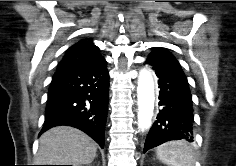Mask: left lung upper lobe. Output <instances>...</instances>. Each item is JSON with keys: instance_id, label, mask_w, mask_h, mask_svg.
Listing matches in <instances>:
<instances>
[{"instance_id": "left-lung-upper-lobe-1", "label": "left lung upper lobe", "mask_w": 236, "mask_h": 166, "mask_svg": "<svg viewBox=\"0 0 236 166\" xmlns=\"http://www.w3.org/2000/svg\"><path fill=\"white\" fill-rule=\"evenodd\" d=\"M171 55V53L163 48L155 47L153 51L150 53L149 57L159 56V55Z\"/></svg>"}]
</instances>
